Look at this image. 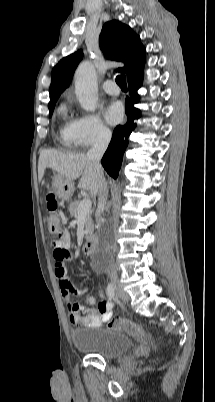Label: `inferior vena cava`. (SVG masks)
<instances>
[{"label": "inferior vena cava", "instance_id": "obj_1", "mask_svg": "<svg viewBox=\"0 0 215 402\" xmlns=\"http://www.w3.org/2000/svg\"><path fill=\"white\" fill-rule=\"evenodd\" d=\"M111 132L109 130H102L96 139L93 147L87 152V158L93 164L98 176H99V187H98V212L97 218L99 222V227L103 232H105V228L103 227L101 220V213H103L108 197V187L103 175V169L101 166V158L104 152L107 149V146L111 140ZM109 278L113 283H117L118 275L117 269L114 265V260L111 258L109 264Z\"/></svg>", "mask_w": 215, "mask_h": 402}]
</instances>
